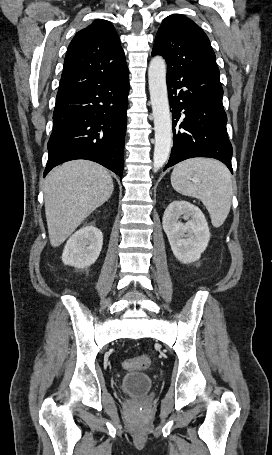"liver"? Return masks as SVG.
<instances>
[{
  "instance_id": "liver-1",
  "label": "liver",
  "mask_w": 272,
  "mask_h": 455,
  "mask_svg": "<svg viewBox=\"0 0 272 455\" xmlns=\"http://www.w3.org/2000/svg\"><path fill=\"white\" fill-rule=\"evenodd\" d=\"M113 180L101 165L69 161L53 169L44 184L50 244L60 246L96 208L112 195Z\"/></svg>"
}]
</instances>
